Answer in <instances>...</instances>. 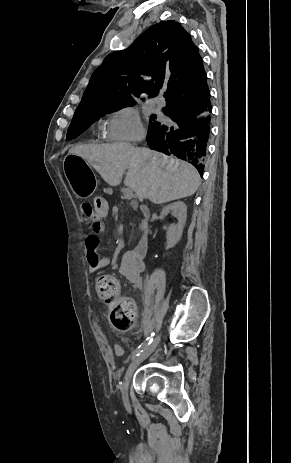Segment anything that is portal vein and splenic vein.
<instances>
[{
	"instance_id": "obj_1",
	"label": "portal vein and splenic vein",
	"mask_w": 291,
	"mask_h": 463,
	"mask_svg": "<svg viewBox=\"0 0 291 463\" xmlns=\"http://www.w3.org/2000/svg\"><path fill=\"white\" fill-rule=\"evenodd\" d=\"M123 195L128 200L134 197L133 190L130 187H126L123 189Z\"/></svg>"
}]
</instances>
